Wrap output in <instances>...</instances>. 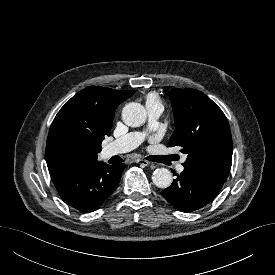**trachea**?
I'll return each instance as SVG.
<instances>
[{"label":"trachea","mask_w":275,"mask_h":275,"mask_svg":"<svg viewBox=\"0 0 275 275\" xmlns=\"http://www.w3.org/2000/svg\"><path fill=\"white\" fill-rule=\"evenodd\" d=\"M148 160L155 161L154 157H148Z\"/></svg>","instance_id":"3493384b"}]
</instances>
